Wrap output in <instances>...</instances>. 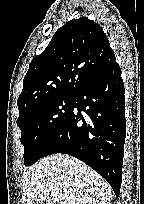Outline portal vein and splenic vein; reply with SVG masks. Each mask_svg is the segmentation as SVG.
I'll use <instances>...</instances> for the list:
<instances>
[{"label":"portal vein and splenic vein","instance_id":"portal-vein-and-splenic-vein-1","mask_svg":"<svg viewBox=\"0 0 144 204\" xmlns=\"http://www.w3.org/2000/svg\"><path fill=\"white\" fill-rule=\"evenodd\" d=\"M55 195H57V193L55 191H52L51 196H55Z\"/></svg>","mask_w":144,"mask_h":204}]
</instances>
